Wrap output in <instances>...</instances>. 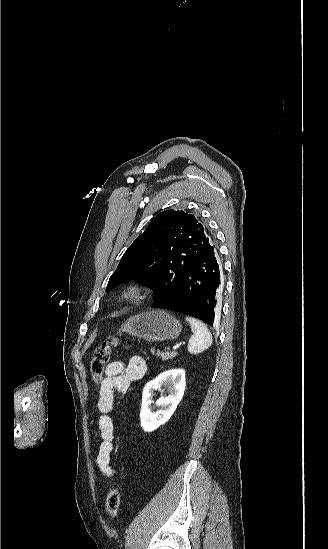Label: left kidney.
Returning <instances> with one entry per match:
<instances>
[{"label":"left kidney","instance_id":"1","mask_svg":"<svg viewBox=\"0 0 328 549\" xmlns=\"http://www.w3.org/2000/svg\"><path fill=\"white\" fill-rule=\"evenodd\" d=\"M161 387H170L168 397H160L155 401L157 407H161L159 411H152V397L154 391H165ZM185 371L184 369H171L164 371L159 377L149 381L145 385L142 393V405L140 411L141 427L146 433H151L158 429L160 425H164L172 417L174 411L180 403L185 391Z\"/></svg>","mask_w":328,"mask_h":549}]
</instances>
